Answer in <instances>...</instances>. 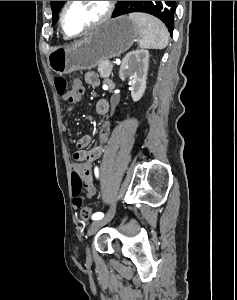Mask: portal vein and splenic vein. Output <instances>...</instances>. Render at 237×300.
I'll return each instance as SVG.
<instances>
[{"instance_id":"1","label":"portal vein and splenic vein","mask_w":237,"mask_h":300,"mask_svg":"<svg viewBox=\"0 0 237 300\" xmlns=\"http://www.w3.org/2000/svg\"><path fill=\"white\" fill-rule=\"evenodd\" d=\"M108 64H109V65H107V68L111 69V68L113 67V66L111 65L112 63L109 62Z\"/></svg>"}]
</instances>
